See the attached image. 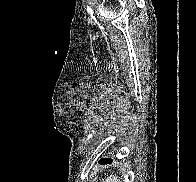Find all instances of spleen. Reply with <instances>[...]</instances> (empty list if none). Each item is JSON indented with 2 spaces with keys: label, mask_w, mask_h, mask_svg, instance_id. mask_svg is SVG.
<instances>
[{
  "label": "spleen",
  "mask_w": 196,
  "mask_h": 182,
  "mask_svg": "<svg viewBox=\"0 0 196 182\" xmlns=\"http://www.w3.org/2000/svg\"><path fill=\"white\" fill-rule=\"evenodd\" d=\"M103 182H120V181H118V179L116 178V177H108L107 179H106V181H103Z\"/></svg>",
  "instance_id": "1"
}]
</instances>
